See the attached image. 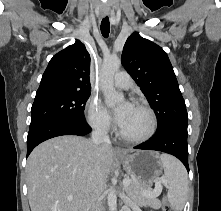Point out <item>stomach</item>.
Masks as SVG:
<instances>
[{"label":"stomach","instance_id":"stomach-1","mask_svg":"<svg viewBox=\"0 0 221 211\" xmlns=\"http://www.w3.org/2000/svg\"><path fill=\"white\" fill-rule=\"evenodd\" d=\"M117 159L133 180L149 188L158 176L162 174V163L158 153L153 151H137L134 154H124Z\"/></svg>","mask_w":221,"mask_h":211}]
</instances>
